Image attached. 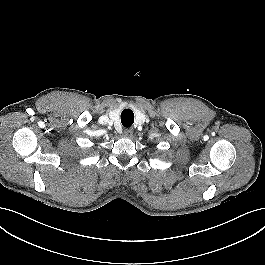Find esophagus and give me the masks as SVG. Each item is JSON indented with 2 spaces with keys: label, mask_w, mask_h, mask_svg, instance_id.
Returning a JSON list of instances; mask_svg holds the SVG:
<instances>
[{
  "label": "esophagus",
  "mask_w": 265,
  "mask_h": 265,
  "mask_svg": "<svg viewBox=\"0 0 265 265\" xmlns=\"http://www.w3.org/2000/svg\"><path fill=\"white\" fill-rule=\"evenodd\" d=\"M123 134H124L125 137L130 138L133 135V130L131 128H127V129L124 130Z\"/></svg>",
  "instance_id": "34e87169"
}]
</instances>
